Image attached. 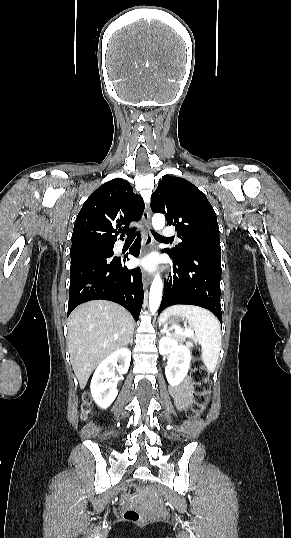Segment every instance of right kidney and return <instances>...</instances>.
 Here are the masks:
<instances>
[{
  "mask_svg": "<svg viewBox=\"0 0 291 538\" xmlns=\"http://www.w3.org/2000/svg\"><path fill=\"white\" fill-rule=\"evenodd\" d=\"M130 361L131 351L128 348H120L98 365L93 374L90 388L92 397L99 407L106 409L115 400L119 381V377L115 374V367L120 375L125 374L129 369Z\"/></svg>",
  "mask_w": 291,
  "mask_h": 538,
  "instance_id": "ca27d5eb",
  "label": "right kidney"
}]
</instances>
